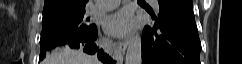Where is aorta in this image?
<instances>
[{
  "mask_svg": "<svg viewBox=\"0 0 242 64\" xmlns=\"http://www.w3.org/2000/svg\"><path fill=\"white\" fill-rule=\"evenodd\" d=\"M142 39L140 35L133 36L129 42L125 64H141Z\"/></svg>",
  "mask_w": 242,
  "mask_h": 64,
  "instance_id": "aorta-1",
  "label": "aorta"
}]
</instances>
